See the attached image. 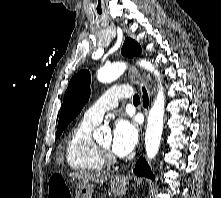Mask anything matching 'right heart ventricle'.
Masks as SVG:
<instances>
[{
  "label": "right heart ventricle",
  "mask_w": 221,
  "mask_h": 198,
  "mask_svg": "<svg viewBox=\"0 0 221 198\" xmlns=\"http://www.w3.org/2000/svg\"><path fill=\"white\" fill-rule=\"evenodd\" d=\"M97 124L80 121L70 132L66 140L67 164L79 171H99L104 161L92 138V131Z\"/></svg>",
  "instance_id": "1"
}]
</instances>
